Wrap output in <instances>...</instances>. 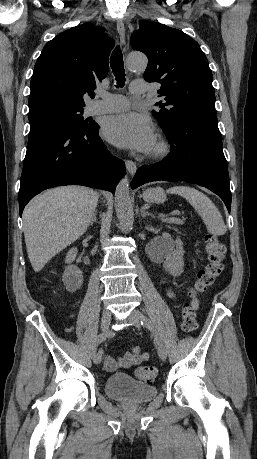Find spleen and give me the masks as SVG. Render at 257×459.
Masks as SVG:
<instances>
[{
    "label": "spleen",
    "instance_id": "spleen-1",
    "mask_svg": "<svg viewBox=\"0 0 257 459\" xmlns=\"http://www.w3.org/2000/svg\"><path fill=\"white\" fill-rule=\"evenodd\" d=\"M167 192L184 197L202 218L210 234L222 236L226 233L227 229L221 213L204 193L189 186H174Z\"/></svg>",
    "mask_w": 257,
    "mask_h": 459
}]
</instances>
